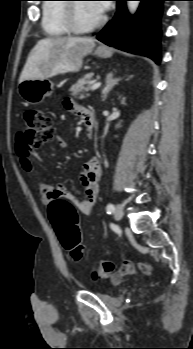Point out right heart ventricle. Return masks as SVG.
<instances>
[{
    "label": "right heart ventricle",
    "instance_id": "e07e8e85",
    "mask_svg": "<svg viewBox=\"0 0 193 349\" xmlns=\"http://www.w3.org/2000/svg\"><path fill=\"white\" fill-rule=\"evenodd\" d=\"M56 1L64 0H47L42 8L41 25L45 35L49 38H61L70 34L64 21L66 4L56 3Z\"/></svg>",
    "mask_w": 193,
    "mask_h": 349
}]
</instances>
